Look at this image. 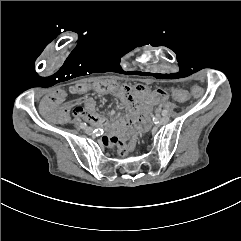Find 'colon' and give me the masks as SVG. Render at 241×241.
Returning <instances> with one entry per match:
<instances>
[{
	"instance_id": "colon-1",
	"label": "colon",
	"mask_w": 241,
	"mask_h": 241,
	"mask_svg": "<svg viewBox=\"0 0 241 241\" xmlns=\"http://www.w3.org/2000/svg\"><path fill=\"white\" fill-rule=\"evenodd\" d=\"M116 90L115 81L113 79H97L95 84H77L74 88L69 90L71 95L77 93H114ZM191 93L195 97H200L203 89L199 86L191 88ZM168 96L172 97L174 101H181L185 98V91L177 89L175 86H170L167 89Z\"/></svg>"
}]
</instances>
